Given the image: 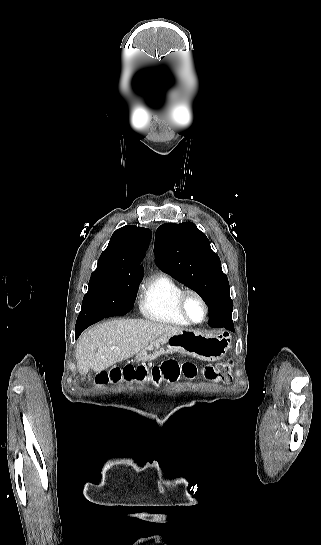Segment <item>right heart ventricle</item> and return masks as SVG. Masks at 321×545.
Masks as SVG:
<instances>
[{
  "mask_svg": "<svg viewBox=\"0 0 321 545\" xmlns=\"http://www.w3.org/2000/svg\"><path fill=\"white\" fill-rule=\"evenodd\" d=\"M184 288L170 275L156 272L149 278L140 299L141 315L154 323L184 328L186 324L177 314L176 298Z\"/></svg>",
  "mask_w": 321,
  "mask_h": 545,
  "instance_id": "e07e8e85",
  "label": "right heart ventricle"
}]
</instances>
